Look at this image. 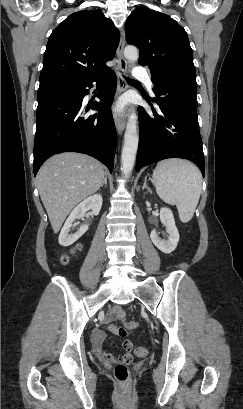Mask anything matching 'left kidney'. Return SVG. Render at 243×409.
I'll return each instance as SVG.
<instances>
[{
	"mask_svg": "<svg viewBox=\"0 0 243 409\" xmlns=\"http://www.w3.org/2000/svg\"><path fill=\"white\" fill-rule=\"evenodd\" d=\"M160 220L163 225L166 227V230L169 234L167 240H162L156 230H152L150 238L153 244L163 253L170 254L177 247L179 241V232L177 230L174 216L172 211L169 208L163 207L160 209Z\"/></svg>",
	"mask_w": 243,
	"mask_h": 409,
	"instance_id": "5707ae66",
	"label": "left kidney"
}]
</instances>
